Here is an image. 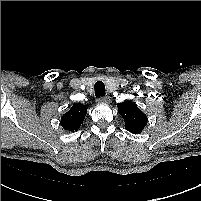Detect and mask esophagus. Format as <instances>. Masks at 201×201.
I'll use <instances>...</instances> for the list:
<instances>
[{"mask_svg":"<svg viewBox=\"0 0 201 201\" xmlns=\"http://www.w3.org/2000/svg\"><path fill=\"white\" fill-rule=\"evenodd\" d=\"M111 98L110 96H104L97 99L98 103H110Z\"/></svg>","mask_w":201,"mask_h":201,"instance_id":"34e87169","label":"esophagus"}]
</instances>
